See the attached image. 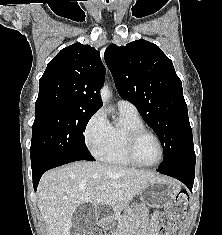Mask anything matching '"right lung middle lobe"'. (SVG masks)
<instances>
[{"label":"right lung middle lobe","mask_w":222,"mask_h":235,"mask_svg":"<svg viewBox=\"0 0 222 235\" xmlns=\"http://www.w3.org/2000/svg\"><path fill=\"white\" fill-rule=\"evenodd\" d=\"M94 113L67 106H53L36 112L30 148L32 171L56 160H94L83 135Z\"/></svg>","instance_id":"1"}]
</instances>
